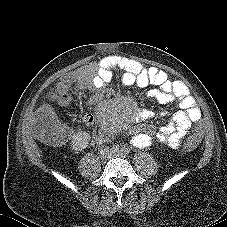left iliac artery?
Here are the masks:
<instances>
[{"label": "left iliac artery", "mask_w": 227, "mask_h": 227, "mask_svg": "<svg viewBox=\"0 0 227 227\" xmlns=\"http://www.w3.org/2000/svg\"><path fill=\"white\" fill-rule=\"evenodd\" d=\"M122 152H124L125 154H128L130 152V150L128 148H122Z\"/></svg>", "instance_id": "left-iliac-artery-1"}]
</instances>
